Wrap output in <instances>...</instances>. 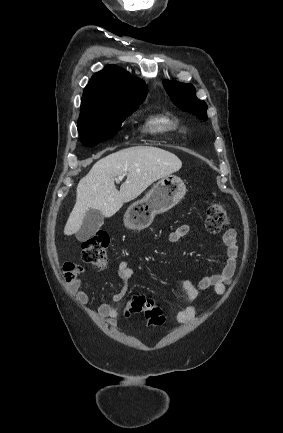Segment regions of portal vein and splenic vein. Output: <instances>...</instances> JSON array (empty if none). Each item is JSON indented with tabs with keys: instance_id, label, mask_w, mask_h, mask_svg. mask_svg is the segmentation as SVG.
I'll use <instances>...</instances> for the list:
<instances>
[{
	"instance_id": "18ae733b",
	"label": "portal vein and splenic vein",
	"mask_w": 283,
	"mask_h": 433,
	"mask_svg": "<svg viewBox=\"0 0 283 433\" xmlns=\"http://www.w3.org/2000/svg\"><path fill=\"white\" fill-rule=\"evenodd\" d=\"M125 174H127V172H125ZM125 174H121V176H117V178H115L116 182H119V180H122V178H124Z\"/></svg>"
}]
</instances>
